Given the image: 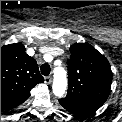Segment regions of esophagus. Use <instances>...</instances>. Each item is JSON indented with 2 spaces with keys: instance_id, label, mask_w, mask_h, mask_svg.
Wrapping results in <instances>:
<instances>
[{
  "instance_id": "esophagus-1",
  "label": "esophagus",
  "mask_w": 122,
  "mask_h": 122,
  "mask_svg": "<svg viewBox=\"0 0 122 122\" xmlns=\"http://www.w3.org/2000/svg\"><path fill=\"white\" fill-rule=\"evenodd\" d=\"M44 82H45L46 84H50V83L52 82V77H51V76L45 77V78H44Z\"/></svg>"
}]
</instances>
